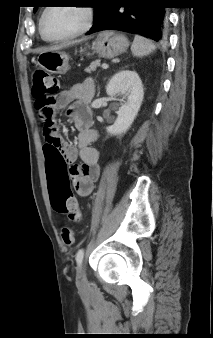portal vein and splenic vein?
Returning <instances> with one entry per match:
<instances>
[{
  "mask_svg": "<svg viewBox=\"0 0 213 338\" xmlns=\"http://www.w3.org/2000/svg\"><path fill=\"white\" fill-rule=\"evenodd\" d=\"M102 68H103V69H107V68H108V65H107L106 63H103V64H102Z\"/></svg>",
  "mask_w": 213,
  "mask_h": 338,
  "instance_id": "18ae733b",
  "label": "portal vein and splenic vein"
}]
</instances>
